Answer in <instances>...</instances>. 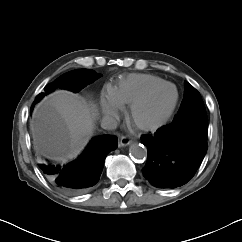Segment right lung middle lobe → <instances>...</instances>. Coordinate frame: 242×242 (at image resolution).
I'll list each match as a JSON object with an SVG mask.
<instances>
[{"label":"right lung middle lobe","instance_id":"1","mask_svg":"<svg viewBox=\"0 0 242 242\" xmlns=\"http://www.w3.org/2000/svg\"><path fill=\"white\" fill-rule=\"evenodd\" d=\"M99 77V74L87 69H79L65 73L60 76L56 81L46 85L45 92L40 93L36 97L33 104L37 103L45 95L58 88H66L74 92H79L88 84H91L92 82L97 80Z\"/></svg>","mask_w":242,"mask_h":242}]
</instances>
